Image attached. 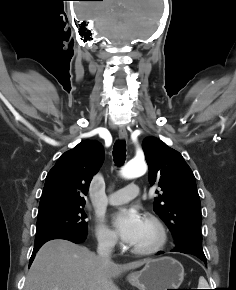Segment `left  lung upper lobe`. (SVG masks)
<instances>
[{
	"label": "left lung upper lobe",
	"instance_id": "obj_1",
	"mask_svg": "<svg viewBox=\"0 0 236 290\" xmlns=\"http://www.w3.org/2000/svg\"><path fill=\"white\" fill-rule=\"evenodd\" d=\"M149 166V183L162 194L155 198L154 211L170 229L176 248L206 258L202 249L201 203L194 174L182 155L155 137L142 143Z\"/></svg>",
	"mask_w": 236,
	"mask_h": 290
}]
</instances>
